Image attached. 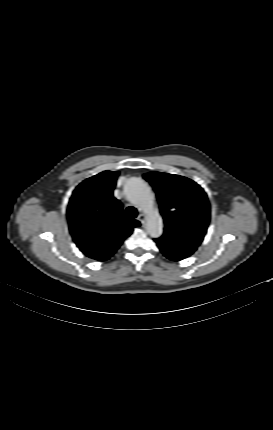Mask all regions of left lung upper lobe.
<instances>
[{"label":"left lung upper lobe","mask_w":273,"mask_h":430,"mask_svg":"<svg viewBox=\"0 0 273 430\" xmlns=\"http://www.w3.org/2000/svg\"><path fill=\"white\" fill-rule=\"evenodd\" d=\"M143 177L156 191L165 231L154 239L169 259L192 255L203 241L210 220V206L204 190L179 175L150 172Z\"/></svg>","instance_id":"5c2ea615"}]
</instances>
